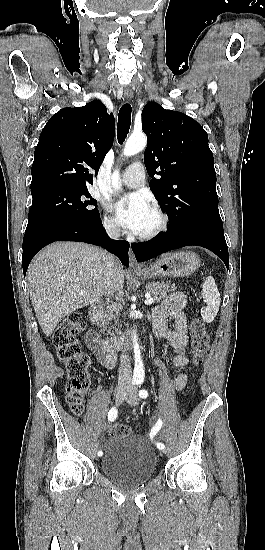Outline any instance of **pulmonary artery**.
<instances>
[{
  "instance_id": "1",
  "label": "pulmonary artery",
  "mask_w": 265,
  "mask_h": 550,
  "mask_svg": "<svg viewBox=\"0 0 265 550\" xmlns=\"http://www.w3.org/2000/svg\"><path fill=\"white\" fill-rule=\"evenodd\" d=\"M145 179V168L142 163H131L125 170L122 177V184L129 188H138L143 185Z\"/></svg>"
}]
</instances>
